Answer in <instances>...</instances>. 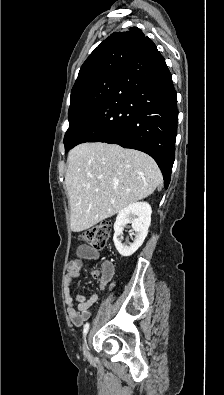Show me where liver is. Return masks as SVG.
<instances>
[{
	"mask_svg": "<svg viewBox=\"0 0 224 395\" xmlns=\"http://www.w3.org/2000/svg\"><path fill=\"white\" fill-rule=\"evenodd\" d=\"M65 184L73 232H81L151 195L162 183L145 153L105 143H83L68 155Z\"/></svg>",
	"mask_w": 224,
	"mask_h": 395,
	"instance_id": "1",
	"label": "liver"
}]
</instances>
